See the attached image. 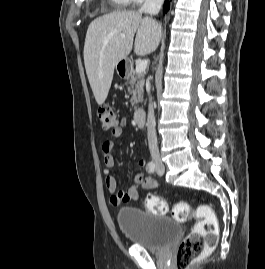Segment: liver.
Listing matches in <instances>:
<instances>
[{
  "mask_svg": "<svg viewBox=\"0 0 265 269\" xmlns=\"http://www.w3.org/2000/svg\"><path fill=\"white\" fill-rule=\"evenodd\" d=\"M147 55L156 50L161 39V25L132 10L115 11L93 20L84 44V64L98 105H102L111 87L114 68L132 50Z\"/></svg>",
  "mask_w": 265,
  "mask_h": 269,
  "instance_id": "obj_1",
  "label": "liver"
}]
</instances>
